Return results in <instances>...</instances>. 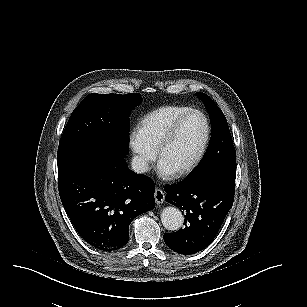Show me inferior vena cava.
<instances>
[{"label": "inferior vena cava", "mask_w": 307, "mask_h": 307, "mask_svg": "<svg viewBox=\"0 0 307 307\" xmlns=\"http://www.w3.org/2000/svg\"><path fill=\"white\" fill-rule=\"evenodd\" d=\"M131 170L136 174H143L149 170V164L145 157L134 155L131 159Z\"/></svg>", "instance_id": "inferior-vena-cava-1"}]
</instances>
